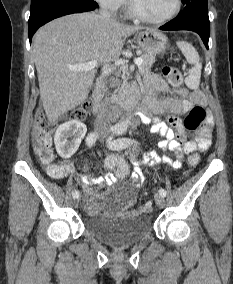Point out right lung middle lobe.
<instances>
[{
    "label": "right lung middle lobe",
    "instance_id": "dd1d6c3e",
    "mask_svg": "<svg viewBox=\"0 0 233 284\" xmlns=\"http://www.w3.org/2000/svg\"><path fill=\"white\" fill-rule=\"evenodd\" d=\"M81 1H93V0H32L31 10L43 5L57 3V2H81Z\"/></svg>",
    "mask_w": 233,
    "mask_h": 284
}]
</instances>
